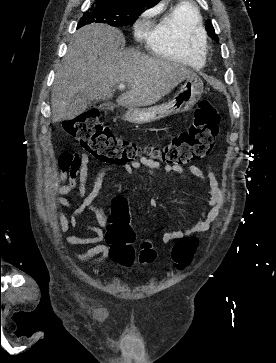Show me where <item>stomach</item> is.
Listing matches in <instances>:
<instances>
[{"label":"stomach","mask_w":276,"mask_h":363,"mask_svg":"<svg viewBox=\"0 0 276 363\" xmlns=\"http://www.w3.org/2000/svg\"><path fill=\"white\" fill-rule=\"evenodd\" d=\"M203 88V81L198 76L189 77L168 103L149 108H127L124 117L131 123L144 124L186 112L200 100Z\"/></svg>","instance_id":"stomach-1"}]
</instances>
